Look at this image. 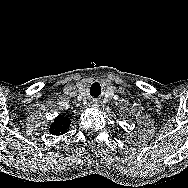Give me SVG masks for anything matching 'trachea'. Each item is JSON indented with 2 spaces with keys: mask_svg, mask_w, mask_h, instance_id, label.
Wrapping results in <instances>:
<instances>
[{
  "mask_svg": "<svg viewBox=\"0 0 188 188\" xmlns=\"http://www.w3.org/2000/svg\"><path fill=\"white\" fill-rule=\"evenodd\" d=\"M103 91V86L100 83H94L90 88V95L93 98H98Z\"/></svg>",
  "mask_w": 188,
  "mask_h": 188,
  "instance_id": "trachea-1",
  "label": "trachea"
}]
</instances>
